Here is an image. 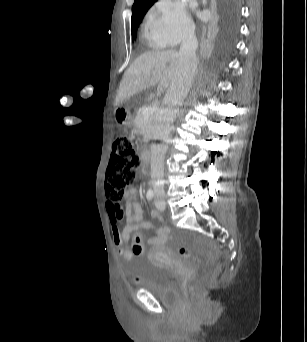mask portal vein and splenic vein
<instances>
[{"mask_svg":"<svg viewBox=\"0 0 307 342\" xmlns=\"http://www.w3.org/2000/svg\"><path fill=\"white\" fill-rule=\"evenodd\" d=\"M158 103L157 102H151L150 105L147 107V112L145 114V117H151L153 115V112L158 108Z\"/></svg>","mask_w":307,"mask_h":342,"instance_id":"18ae733b","label":"portal vein and splenic vein"}]
</instances>
